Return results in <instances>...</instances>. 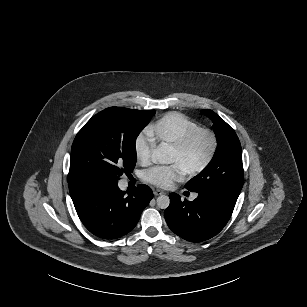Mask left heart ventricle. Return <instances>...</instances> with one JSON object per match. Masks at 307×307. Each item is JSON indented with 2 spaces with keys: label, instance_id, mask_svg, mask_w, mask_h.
Returning <instances> with one entry per match:
<instances>
[{
  "label": "left heart ventricle",
  "instance_id": "b2bd125f",
  "mask_svg": "<svg viewBox=\"0 0 307 307\" xmlns=\"http://www.w3.org/2000/svg\"><path fill=\"white\" fill-rule=\"evenodd\" d=\"M209 145V140L202 137L184 153H176L169 149L164 163H178L188 170L203 160L209 151Z\"/></svg>",
  "mask_w": 307,
  "mask_h": 307
}]
</instances>
